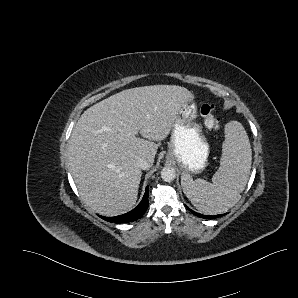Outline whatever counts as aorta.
I'll return each mask as SVG.
<instances>
[{"mask_svg":"<svg viewBox=\"0 0 298 298\" xmlns=\"http://www.w3.org/2000/svg\"><path fill=\"white\" fill-rule=\"evenodd\" d=\"M160 176L165 182L173 181L176 178V170L171 166H165L161 169Z\"/></svg>","mask_w":298,"mask_h":298,"instance_id":"obj_1","label":"aorta"}]
</instances>
